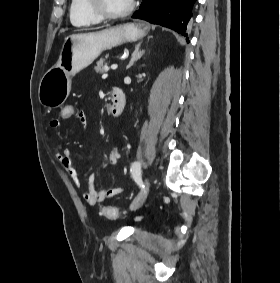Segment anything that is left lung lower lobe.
Returning a JSON list of instances; mask_svg holds the SVG:
<instances>
[{"label": "left lung lower lobe", "instance_id": "1", "mask_svg": "<svg viewBox=\"0 0 280 283\" xmlns=\"http://www.w3.org/2000/svg\"><path fill=\"white\" fill-rule=\"evenodd\" d=\"M196 0H143L132 18L171 28L187 36V26ZM189 42V39L186 38Z\"/></svg>", "mask_w": 280, "mask_h": 283}]
</instances>
